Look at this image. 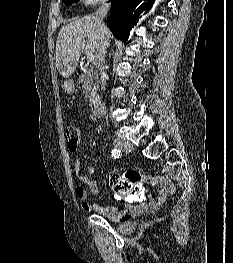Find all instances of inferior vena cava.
I'll return each instance as SVG.
<instances>
[{"label": "inferior vena cava", "mask_w": 233, "mask_h": 263, "mask_svg": "<svg viewBox=\"0 0 233 263\" xmlns=\"http://www.w3.org/2000/svg\"><path fill=\"white\" fill-rule=\"evenodd\" d=\"M109 9H110L109 5H102L101 7L98 8V10L95 12V15L93 16V20L98 28V36H99L98 49L95 58H96V70L100 75L101 90H105L106 74L104 71V62H105L106 46L108 44L107 27L103 23V19L106 17Z\"/></svg>", "instance_id": "602c4592"}]
</instances>
